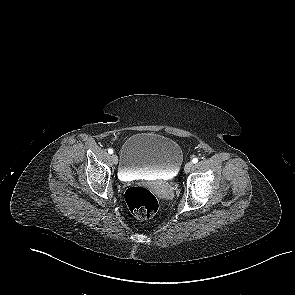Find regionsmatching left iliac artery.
<instances>
[{
  "label": "left iliac artery",
  "instance_id": "44dca946",
  "mask_svg": "<svg viewBox=\"0 0 295 295\" xmlns=\"http://www.w3.org/2000/svg\"><path fill=\"white\" fill-rule=\"evenodd\" d=\"M192 162H193V163H197V162H198V159H197V158H193V159H192Z\"/></svg>",
  "mask_w": 295,
  "mask_h": 295
}]
</instances>
